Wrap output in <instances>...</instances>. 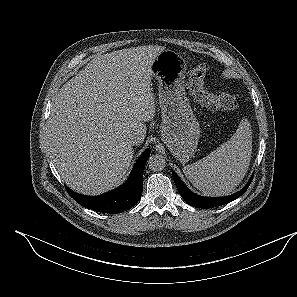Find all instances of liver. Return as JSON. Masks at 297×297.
<instances>
[{"label":"liver","instance_id":"1","mask_svg":"<svg viewBox=\"0 0 297 297\" xmlns=\"http://www.w3.org/2000/svg\"><path fill=\"white\" fill-rule=\"evenodd\" d=\"M163 50L149 45L98 55L61 87L47 135L53 163L72 190L98 195L122 181L134 154L128 136L142 143L145 122L155 115L151 65Z\"/></svg>","mask_w":297,"mask_h":297}]
</instances>
